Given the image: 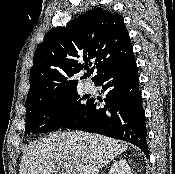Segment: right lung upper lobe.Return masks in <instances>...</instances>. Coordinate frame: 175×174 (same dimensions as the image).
<instances>
[{"instance_id": "1", "label": "right lung upper lobe", "mask_w": 175, "mask_h": 174, "mask_svg": "<svg viewBox=\"0 0 175 174\" xmlns=\"http://www.w3.org/2000/svg\"><path fill=\"white\" fill-rule=\"evenodd\" d=\"M132 45L124 20L103 8L92 9L50 30L34 54L26 105L74 89L72 78L93 66L95 83L110 66L129 55Z\"/></svg>"}]
</instances>
